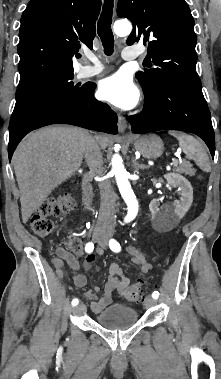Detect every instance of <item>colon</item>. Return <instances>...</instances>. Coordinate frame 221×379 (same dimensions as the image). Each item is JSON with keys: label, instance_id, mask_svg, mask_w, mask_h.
Returning a JSON list of instances; mask_svg holds the SVG:
<instances>
[{"label": "colon", "instance_id": "obj_1", "mask_svg": "<svg viewBox=\"0 0 221 379\" xmlns=\"http://www.w3.org/2000/svg\"><path fill=\"white\" fill-rule=\"evenodd\" d=\"M73 205V198L70 195L43 202L31 216L30 227L32 231L39 237L49 236L54 228L51 217H58L68 212ZM72 249L74 252L79 251L77 241L72 244ZM124 296L131 302H141L144 299V289L139 283L131 284L125 289Z\"/></svg>", "mask_w": 221, "mask_h": 379}]
</instances>
